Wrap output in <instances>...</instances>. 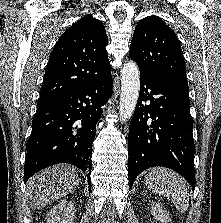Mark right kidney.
<instances>
[{"label":"right kidney","instance_id":"right-kidney-1","mask_svg":"<svg viewBox=\"0 0 221 223\" xmlns=\"http://www.w3.org/2000/svg\"><path fill=\"white\" fill-rule=\"evenodd\" d=\"M75 208L71 201L62 200L47 214V223H73Z\"/></svg>","mask_w":221,"mask_h":223}]
</instances>
